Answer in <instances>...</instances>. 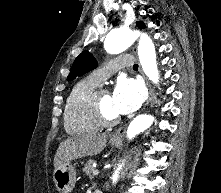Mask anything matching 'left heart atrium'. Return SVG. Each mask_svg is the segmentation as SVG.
I'll return each mask as SVG.
<instances>
[{
  "mask_svg": "<svg viewBox=\"0 0 221 193\" xmlns=\"http://www.w3.org/2000/svg\"><path fill=\"white\" fill-rule=\"evenodd\" d=\"M114 109L118 114H129L136 111L145 98L142 84L132 78H120L114 88Z\"/></svg>",
  "mask_w": 221,
  "mask_h": 193,
  "instance_id": "obj_1",
  "label": "left heart atrium"
}]
</instances>
